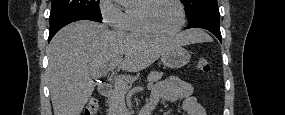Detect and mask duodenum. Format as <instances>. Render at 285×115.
<instances>
[{
    "mask_svg": "<svg viewBox=\"0 0 285 115\" xmlns=\"http://www.w3.org/2000/svg\"><path fill=\"white\" fill-rule=\"evenodd\" d=\"M111 90H112V86H111V84H109V83H102V84L99 86V94H100L102 97L108 96ZM150 109H151V107L149 106V107L147 108V110L149 111ZM147 114H149V112H148Z\"/></svg>",
    "mask_w": 285,
    "mask_h": 115,
    "instance_id": "410a0bca",
    "label": "duodenum"
}]
</instances>
